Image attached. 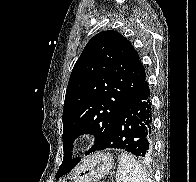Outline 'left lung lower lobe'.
Here are the masks:
<instances>
[{"label": "left lung lower lobe", "instance_id": "0a47b994", "mask_svg": "<svg viewBox=\"0 0 196 182\" xmlns=\"http://www.w3.org/2000/svg\"><path fill=\"white\" fill-rule=\"evenodd\" d=\"M152 132L153 123L150 88L145 79L141 88L131 97L117 115L110 133L103 143L86 154L108 148H115L132 153L137 157L149 158L153 151ZM71 155V151L67 152L66 162H69ZM79 161L80 159H78L76 163Z\"/></svg>", "mask_w": 196, "mask_h": 182}]
</instances>
